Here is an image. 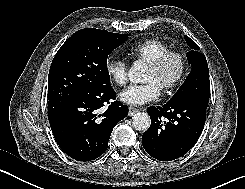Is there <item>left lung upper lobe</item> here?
I'll use <instances>...</instances> for the list:
<instances>
[{"label": "left lung upper lobe", "mask_w": 245, "mask_h": 189, "mask_svg": "<svg viewBox=\"0 0 245 189\" xmlns=\"http://www.w3.org/2000/svg\"><path fill=\"white\" fill-rule=\"evenodd\" d=\"M191 51L187 54L191 72L178 91L169 100L178 102L186 99H197L208 103L210 95L209 69L205 56L199 52V46L185 36Z\"/></svg>", "instance_id": "left-lung-upper-lobe-1"}]
</instances>
